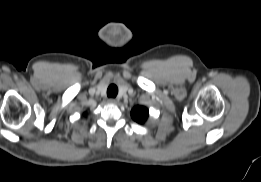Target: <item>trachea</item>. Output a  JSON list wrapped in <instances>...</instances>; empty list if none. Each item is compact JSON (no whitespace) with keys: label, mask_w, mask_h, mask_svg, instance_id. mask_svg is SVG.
Returning <instances> with one entry per match:
<instances>
[{"label":"trachea","mask_w":261,"mask_h":182,"mask_svg":"<svg viewBox=\"0 0 261 182\" xmlns=\"http://www.w3.org/2000/svg\"><path fill=\"white\" fill-rule=\"evenodd\" d=\"M117 94H118V88H117V86L114 85V84H111V85L108 87V89H107V96L114 98V97L117 96Z\"/></svg>","instance_id":"1"}]
</instances>
